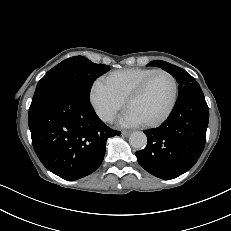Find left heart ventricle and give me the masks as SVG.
I'll use <instances>...</instances> for the list:
<instances>
[{
  "label": "left heart ventricle",
  "mask_w": 231,
  "mask_h": 231,
  "mask_svg": "<svg viewBox=\"0 0 231 231\" xmlns=\"http://www.w3.org/2000/svg\"><path fill=\"white\" fill-rule=\"evenodd\" d=\"M173 97V83L163 73L154 75L143 93L128 107L142 122L161 117L168 109Z\"/></svg>",
  "instance_id": "b2bd125f"
}]
</instances>
